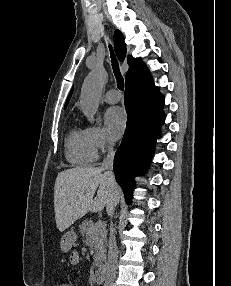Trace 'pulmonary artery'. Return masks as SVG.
Segmentation results:
<instances>
[{
    "label": "pulmonary artery",
    "instance_id": "obj_1",
    "mask_svg": "<svg viewBox=\"0 0 231 286\" xmlns=\"http://www.w3.org/2000/svg\"><path fill=\"white\" fill-rule=\"evenodd\" d=\"M120 99V93L116 89H110L104 95V100L109 104L117 103L120 101Z\"/></svg>",
    "mask_w": 231,
    "mask_h": 286
}]
</instances>
